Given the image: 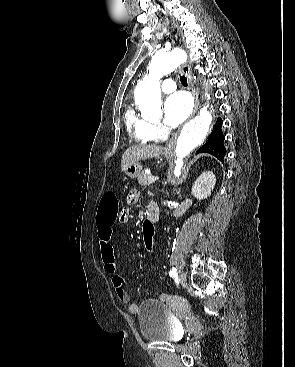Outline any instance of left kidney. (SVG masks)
Returning <instances> with one entry per match:
<instances>
[{"label": "left kidney", "instance_id": "left-kidney-1", "mask_svg": "<svg viewBox=\"0 0 295 367\" xmlns=\"http://www.w3.org/2000/svg\"><path fill=\"white\" fill-rule=\"evenodd\" d=\"M216 177L212 171L202 173L192 187V194L199 200L206 199L214 189Z\"/></svg>", "mask_w": 295, "mask_h": 367}]
</instances>
